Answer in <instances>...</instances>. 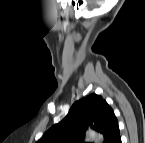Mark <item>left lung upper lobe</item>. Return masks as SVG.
Returning a JSON list of instances; mask_svg holds the SVG:
<instances>
[{
    "mask_svg": "<svg viewBox=\"0 0 145 143\" xmlns=\"http://www.w3.org/2000/svg\"><path fill=\"white\" fill-rule=\"evenodd\" d=\"M88 126L104 135V143H113L119 136L118 122L112 108L96 94L75 102L67 116L50 128L38 143H83L84 131Z\"/></svg>",
    "mask_w": 145,
    "mask_h": 143,
    "instance_id": "obj_1",
    "label": "left lung upper lobe"
}]
</instances>
